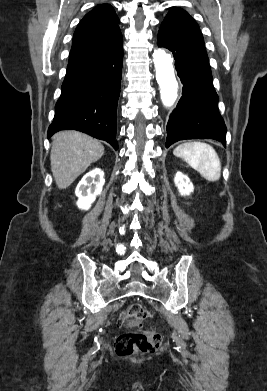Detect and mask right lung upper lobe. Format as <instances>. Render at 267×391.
Wrapping results in <instances>:
<instances>
[{
    "label": "right lung upper lobe",
    "mask_w": 267,
    "mask_h": 391,
    "mask_svg": "<svg viewBox=\"0 0 267 391\" xmlns=\"http://www.w3.org/2000/svg\"><path fill=\"white\" fill-rule=\"evenodd\" d=\"M119 18L109 4L96 6L78 24L70 51L69 63H76L114 49L121 44Z\"/></svg>",
    "instance_id": "obj_1"
}]
</instances>
